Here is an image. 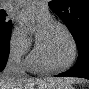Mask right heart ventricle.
<instances>
[{"label": "right heart ventricle", "mask_w": 89, "mask_h": 89, "mask_svg": "<svg viewBox=\"0 0 89 89\" xmlns=\"http://www.w3.org/2000/svg\"><path fill=\"white\" fill-rule=\"evenodd\" d=\"M26 65L28 69L32 71H46L44 65L42 64L36 53H33L28 57Z\"/></svg>", "instance_id": "1"}]
</instances>
